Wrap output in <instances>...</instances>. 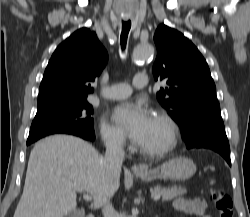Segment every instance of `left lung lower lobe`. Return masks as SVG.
<instances>
[{"label":"left lung lower lobe","mask_w":250,"mask_h":217,"mask_svg":"<svg viewBox=\"0 0 250 217\" xmlns=\"http://www.w3.org/2000/svg\"><path fill=\"white\" fill-rule=\"evenodd\" d=\"M182 136L188 149H212L222 155L231 166L229 142L221 115H213L198 121Z\"/></svg>","instance_id":"1"}]
</instances>
